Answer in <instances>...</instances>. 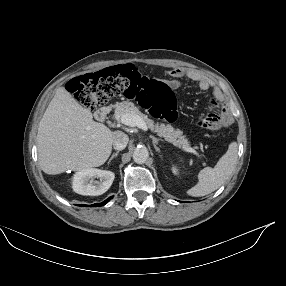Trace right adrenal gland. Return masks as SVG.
Returning a JSON list of instances; mask_svg holds the SVG:
<instances>
[{
  "instance_id": "right-adrenal-gland-1",
  "label": "right adrenal gland",
  "mask_w": 286,
  "mask_h": 286,
  "mask_svg": "<svg viewBox=\"0 0 286 286\" xmlns=\"http://www.w3.org/2000/svg\"><path fill=\"white\" fill-rule=\"evenodd\" d=\"M118 153H119V151H117V152H115L114 154H112L111 158L109 159L108 164H110V163H111V161H112L114 158H116V157H117Z\"/></svg>"
}]
</instances>
